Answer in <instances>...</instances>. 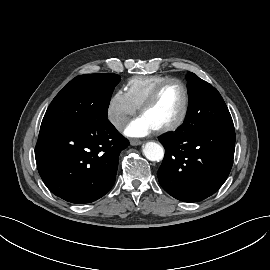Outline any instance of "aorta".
Returning a JSON list of instances; mask_svg holds the SVG:
<instances>
[{"label":"aorta","mask_w":270,"mask_h":270,"mask_svg":"<svg viewBox=\"0 0 270 270\" xmlns=\"http://www.w3.org/2000/svg\"><path fill=\"white\" fill-rule=\"evenodd\" d=\"M143 154L150 161H157L163 159L164 149L163 147L156 142H147L143 146Z\"/></svg>","instance_id":"1"}]
</instances>
